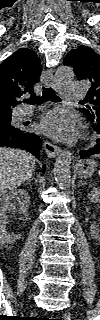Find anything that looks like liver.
Listing matches in <instances>:
<instances>
[{"label":"liver","instance_id":"6515ba94","mask_svg":"<svg viewBox=\"0 0 100 320\" xmlns=\"http://www.w3.org/2000/svg\"><path fill=\"white\" fill-rule=\"evenodd\" d=\"M35 157L23 150L0 148V194L13 191L28 180L34 171Z\"/></svg>","mask_w":100,"mask_h":320}]
</instances>
